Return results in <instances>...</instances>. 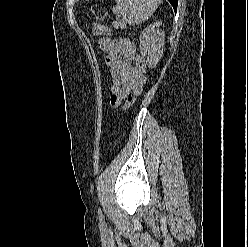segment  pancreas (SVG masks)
<instances>
[{
  "label": "pancreas",
  "instance_id": "1",
  "mask_svg": "<svg viewBox=\"0 0 248 247\" xmlns=\"http://www.w3.org/2000/svg\"><path fill=\"white\" fill-rule=\"evenodd\" d=\"M113 26L116 27V28H125V24L122 23V22H119V21H114L113 22Z\"/></svg>",
  "mask_w": 248,
  "mask_h": 247
}]
</instances>
